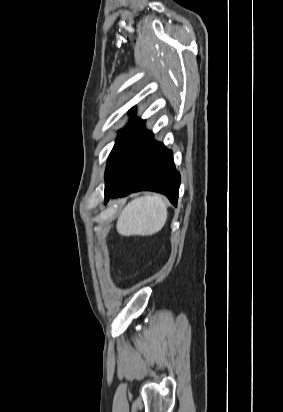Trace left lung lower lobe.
<instances>
[{"instance_id":"1","label":"left lung lower lobe","mask_w":283,"mask_h":412,"mask_svg":"<svg viewBox=\"0 0 283 412\" xmlns=\"http://www.w3.org/2000/svg\"><path fill=\"white\" fill-rule=\"evenodd\" d=\"M121 173L118 166L108 160L105 171V203L110 198L150 190L166 195L171 203L177 205L181 177L175 170L172 151L162 143L152 139L148 151L131 175L122 180Z\"/></svg>"}]
</instances>
